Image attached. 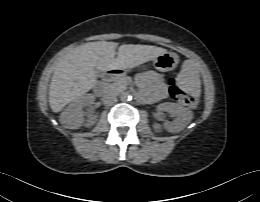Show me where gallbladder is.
<instances>
[{
    "label": "gallbladder",
    "instance_id": "bac80fb5",
    "mask_svg": "<svg viewBox=\"0 0 260 202\" xmlns=\"http://www.w3.org/2000/svg\"><path fill=\"white\" fill-rule=\"evenodd\" d=\"M95 73L97 76H102V72L98 69H95Z\"/></svg>",
    "mask_w": 260,
    "mask_h": 202
}]
</instances>
